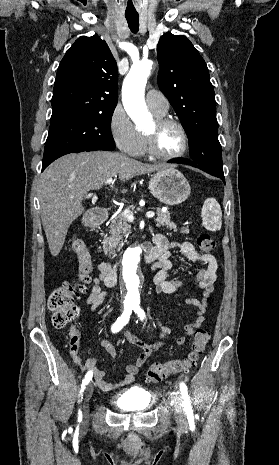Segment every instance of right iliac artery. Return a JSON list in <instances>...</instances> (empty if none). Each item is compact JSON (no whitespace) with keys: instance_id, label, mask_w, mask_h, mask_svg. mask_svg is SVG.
<instances>
[{"instance_id":"right-iliac-artery-1","label":"right iliac artery","mask_w":279,"mask_h":465,"mask_svg":"<svg viewBox=\"0 0 279 465\" xmlns=\"http://www.w3.org/2000/svg\"><path fill=\"white\" fill-rule=\"evenodd\" d=\"M132 310H133V307L132 306H126L124 307V311L122 313V315L116 320V322L112 325V332L115 333V332H118L119 330H121L123 328L124 325H126L129 321V318H130V315L132 313ZM92 372L89 371L87 372V374L85 375V378L83 379L82 381V384H81V390H80V395L82 394V392L84 391L85 389V386L89 383V381L91 380L92 378ZM82 419V412L81 410H79V416H78V421H81Z\"/></svg>"}]
</instances>
